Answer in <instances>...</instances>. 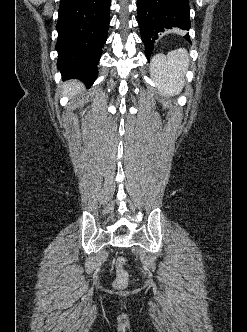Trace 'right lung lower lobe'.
Instances as JSON below:
<instances>
[{"instance_id": "98d812e1", "label": "right lung lower lobe", "mask_w": 247, "mask_h": 332, "mask_svg": "<svg viewBox=\"0 0 247 332\" xmlns=\"http://www.w3.org/2000/svg\"><path fill=\"white\" fill-rule=\"evenodd\" d=\"M110 0H60L58 10L57 68L65 78L91 86L107 40Z\"/></svg>"}]
</instances>
